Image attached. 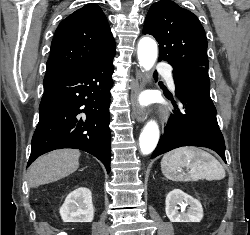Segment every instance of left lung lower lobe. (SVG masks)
<instances>
[{
    "mask_svg": "<svg viewBox=\"0 0 250 235\" xmlns=\"http://www.w3.org/2000/svg\"><path fill=\"white\" fill-rule=\"evenodd\" d=\"M173 78L182 108L174 110L151 158L178 147L198 146L214 150L226 162L224 138L210 98L208 70L189 68L173 72Z\"/></svg>",
    "mask_w": 250,
    "mask_h": 235,
    "instance_id": "obj_1",
    "label": "left lung lower lobe"
}]
</instances>
